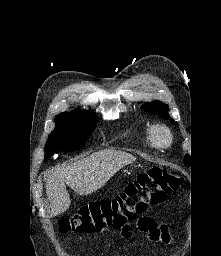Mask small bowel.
I'll return each mask as SVG.
<instances>
[{
	"label": "small bowel",
	"instance_id": "obj_1",
	"mask_svg": "<svg viewBox=\"0 0 221 256\" xmlns=\"http://www.w3.org/2000/svg\"><path fill=\"white\" fill-rule=\"evenodd\" d=\"M137 226L139 230L146 233L149 240L153 242L162 241L168 243L170 240L167 226L165 224H158L152 217H140ZM122 236L124 238L131 236L130 226L122 230Z\"/></svg>",
	"mask_w": 221,
	"mask_h": 256
}]
</instances>
